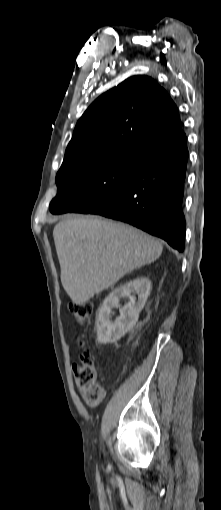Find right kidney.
Returning a JSON list of instances; mask_svg holds the SVG:
<instances>
[{
    "mask_svg": "<svg viewBox=\"0 0 221 510\" xmlns=\"http://www.w3.org/2000/svg\"><path fill=\"white\" fill-rule=\"evenodd\" d=\"M151 290V282L146 277H138L123 286L115 288L104 300L96 318L97 340L101 344L114 343L131 330L138 321ZM138 295V299L132 295ZM122 297L129 302L120 307ZM112 308H119L120 316L111 320Z\"/></svg>",
    "mask_w": 221,
    "mask_h": 510,
    "instance_id": "obj_1",
    "label": "right kidney"
}]
</instances>
